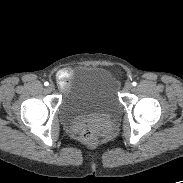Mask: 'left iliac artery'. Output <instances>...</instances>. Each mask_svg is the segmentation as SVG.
I'll return each instance as SVG.
<instances>
[{
	"instance_id": "obj_1",
	"label": "left iliac artery",
	"mask_w": 183,
	"mask_h": 183,
	"mask_svg": "<svg viewBox=\"0 0 183 183\" xmlns=\"http://www.w3.org/2000/svg\"><path fill=\"white\" fill-rule=\"evenodd\" d=\"M132 85H133V86H136V85H137V83H136V82H133V83H132Z\"/></svg>"
}]
</instances>
